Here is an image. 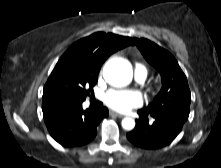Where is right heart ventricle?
Here are the masks:
<instances>
[{
	"label": "right heart ventricle",
	"instance_id": "1",
	"mask_svg": "<svg viewBox=\"0 0 221 168\" xmlns=\"http://www.w3.org/2000/svg\"><path fill=\"white\" fill-rule=\"evenodd\" d=\"M136 68L144 69V70L147 72L146 68H145L143 65H141V64H137V65H136Z\"/></svg>",
	"mask_w": 221,
	"mask_h": 168
}]
</instances>
